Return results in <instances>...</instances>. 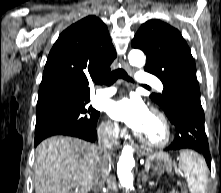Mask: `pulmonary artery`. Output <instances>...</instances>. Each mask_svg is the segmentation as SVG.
<instances>
[{
    "instance_id": "obj_1",
    "label": "pulmonary artery",
    "mask_w": 221,
    "mask_h": 193,
    "mask_svg": "<svg viewBox=\"0 0 221 193\" xmlns=\"http://www.w3.org/2000/svg\"><path fill=\"white\" fill-rule=\"evenodd\" d=\"M138 84L153 87L157 90L163 89V84L156 76L149 74L147 71H138L136 75ZM115 87H105L96 91L94 97L96 99H105L115 94Z\"/></svg>"
}]
</instances>
